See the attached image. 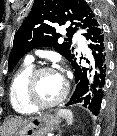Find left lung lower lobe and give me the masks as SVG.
<instances>
[{"label": "left lung lower lobe", "instance_id": "obj_1", "mask_svg": "<svg viewBox=\"0 0 117 136\" xmlns=\"http://www.w3.org/2000/svg\"><path fill=\"white\" fill-rule=\"evenodd\" d=\"M93 57L91 68L81 67L77 58L71 62L77 82L76 90L66 105L78 104L98 115L108 68V48L104 30L100 26L86 36Z\"/></svg>", "mask_w": 117, "mask_h": 136}]
</instances>
